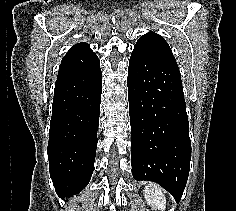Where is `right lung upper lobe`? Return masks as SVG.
Wrapping results in <instances>:
<instances>
[{
    "label": "right lung upper lobe",
    "instance_id": "cb5924a9",
    "mask_svg": "<svg viewBox=\"0 0 236 211\" xmlns=\"http://www.w3.org/2000/svg\"><path fill=\"white\" fill-rule=\"evenodd\" d=\"M100 67L99 59L87 43L74 45L61 61L57 81L89 74Z\"/></svg>",
    "mask_w": 236,
    "mask_h": 211
}]
</instances>
